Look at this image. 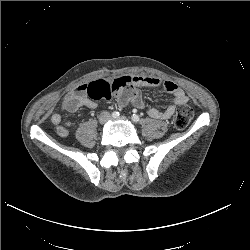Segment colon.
Listing matches in <instances>:
<instances>
[{
    "label": "colon",
    "mask_w": 250,
    "mask_h": 250,
    "mask_svg": "<svg viewBox=\"0 0 250 250\" xmlns=\"http://www.w3.org/2000/svg\"><path fill=\"white\" fill-rule=\"evenodd\" d=\"M87 95L94 100H110L115 93V88L107 80L99 79L89 83L86 87ZM129 94L124 93L123 105L128 103ZM194 111L190 106L183 105L177 108L174 116V126L177 129L186 128L193 119Z\"/></svg>",
    "instance_id": "obj_1"
}]
</instances>
